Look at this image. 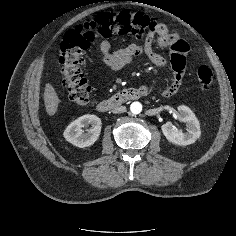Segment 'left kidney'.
Here are the masks:
<instances>
[{"label": "left kidney", "instance_id": "5707ae66", "mask_svg": "<svg viewBox=\"0 0 236 236\" xmlns=\"http://www.w3.org/2000/svg\"><path fill=\"white\" fill-rule=\"evenodd\" d=\"M180 113V121L184 122L187 132L183 133L173 126L171 122H167L161 126V130L166 139L173 144L186 146L193 144L201 135L200 124L192 110L184 105L178 107Z\"/></svg>", "mask_w": 236, "mask_h": 236}]
</instances>
